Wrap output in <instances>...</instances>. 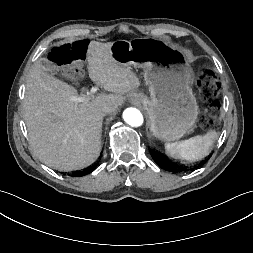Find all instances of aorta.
Instances as JSON below:
<instances>
[{
  "instance_id": "1",
  "label": "aorta",
  "mask_w": 253,
  "mask_h": 253,
  "mask_svg": "<svg viewBox=\"0 0 253 253\" xmlns=\"http://www.w3.org/2000/svg\"><path fill=\"white\" fill-rule=\"evenodd\" d=\"M124 121L132 127H139L143 124L142 113L136 108H127L123 112Z\"/></svg>"
}]
</instances>
